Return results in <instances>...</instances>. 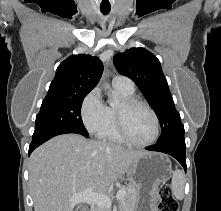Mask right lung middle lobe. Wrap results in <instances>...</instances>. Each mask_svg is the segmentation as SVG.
I'll return each mask as SVG.
<instances>
[{"label": "right lung middle lobe", "instance_id": "1", "mask_svg": "<svg viewBox=\"0 0 221 211\" xmlns=\"http://www.w3.org/2000/svg\"><path fill=\"white\" fill-rule=\"evenodd\" d=\"M86 95L47 94L36 116L33 137L58 130H75L87 134L81 118V106Z\"/></svg>", "mask_w": 221, "mask_h": 211}]
</instances>
